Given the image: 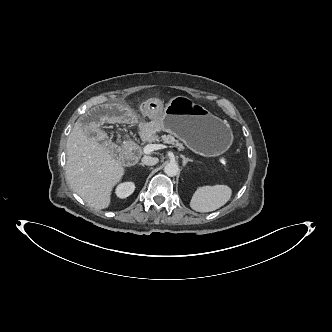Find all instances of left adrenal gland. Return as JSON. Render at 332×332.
Instances as JSON below:
<instances>
[{
    "label": "left adrenal gland",
    "instance_id": "a2214340",
    "mask_svg": "<svg viewBox=\"0 0 332 332\" xmlns=\"http://www.w3.org/2000/svg\"><path fill=\"white\" fill-rule=\"evenodd\" d=\"M180 157L183 159V166L185 167L188 162H192V159L186 158L184 155H180Z\"/></svg>",
    "mask_w": 332,
    "mask_h": 332
}]
</instances>
